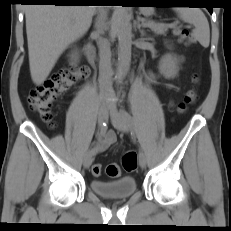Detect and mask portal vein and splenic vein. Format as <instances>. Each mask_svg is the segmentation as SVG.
I'll return each instance as SVG.
<instances>
[{"mask_svg": "<svg viewBox=\"0 0 231 231\" xmlns=\"http://www.w3.org/2000/svg\"><path fill=\"white\" fill-rule=\"evenodd\" d=\"M143 25H144V26H148V23H147V22H145V23H143Z\"/></svg>", "mask_w": 231, "mask_h": 231, "instance_id": "1", "label": "portal vein and splenic vein"}]
</instances>
